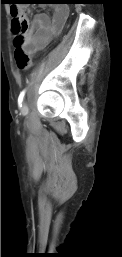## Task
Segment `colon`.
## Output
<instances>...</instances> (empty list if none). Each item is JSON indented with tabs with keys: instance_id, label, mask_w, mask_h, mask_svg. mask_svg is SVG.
Returning <instances> with one entry per match:
<instances>
[{
	"instance_id": "colon-1",
	"label": "colon",
	"mask_w": 122,
	"mask_h": 257,
	"mask_svg": "<svg viewBox=\"0 0 122 257\" xmlns=\"http://www.w3.org/2000/svg\"><path fill=\"white\" fill-rule=\"evenodd\" d=\"M23 10H28V5H11L12 31L15 35L14 59L20 69H27L30 64L29 56L22 49L21 44L28 28V21Z\"/></svg>"
}]
</instances>
